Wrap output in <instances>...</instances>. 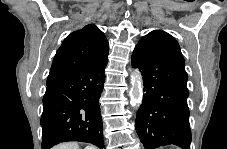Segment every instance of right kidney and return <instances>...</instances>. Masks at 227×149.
Wrapping results in <instances>:
<instances>
[{
	"mask_svg": "<svg viewBox=\"0 0 227 149\" xmlns=\"http://www.w3.org/2000/svg\"><path fill=\"white\" fill-rule=\"evenodd\" d=\"M87 149H96L95 147H87Z\"/></svg>",
	"mask_w": 227,
	"mask_h": 149,
	"instance_id": "right-kidney-1",
	"label": "right kidney"
}]
</instances>
